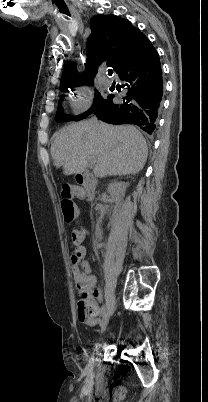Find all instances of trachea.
<instances>
[{"label":"trachea","mask_w":208,"mask_h":402,"mask_svg":"<svg viewBox=\"0 0 208 402\" xmlns=\"http://www.w3.org/2000/svg\"><path fill=\"white\" fill-rule=\"evenodd\" d=\"M112 74H113V70L109 69V70H108V75L111 76Z\"/></svg>","instance_id":"3493384b"}]
</instances>
